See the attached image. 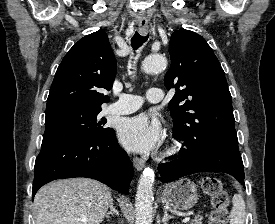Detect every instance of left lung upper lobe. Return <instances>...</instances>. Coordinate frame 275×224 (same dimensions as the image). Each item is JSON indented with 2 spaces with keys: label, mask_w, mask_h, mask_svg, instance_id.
<instances>
[{
  "label": "left lung upper lobe",
  "mask_w": 275,
  "mask_h": 224,
  "mask_svg": "<svg viewBox=\"0 0 275 224\" xmlns=\"http://www.w3.org/2000/svg\"><path fill=\"white\" fill-rule=\"evenodd\" d=\"M169 53L164 83L176 89L169 102L174 136L189 145L238 144L225 73L205 39L182 28L172 33Z\"/></svg>",
  "instance_id": "left-lung-upper-lobe-1"
}]
</instances>
